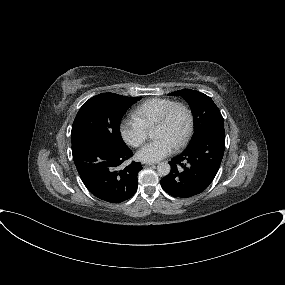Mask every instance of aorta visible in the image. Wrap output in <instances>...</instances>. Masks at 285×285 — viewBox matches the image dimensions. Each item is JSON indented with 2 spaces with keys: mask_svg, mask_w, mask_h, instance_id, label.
<instances>
[{
  "mask_svg": "<svg viewBox=\"0 0 285 285\" xmlns=\"http://www.w3.org/2000/svg\"><path fill=\"white\" fill-rule=\"evenodd\" d=\"M171 167L167 162L159 163L157 166V171L159 175L166 176L170 173Z\"/></svg>",
  "mask_w": 285,
  "mask_h": 285,
  "instance_id": "762f6f07",
  "label": "aorta"
}]
</instances>
